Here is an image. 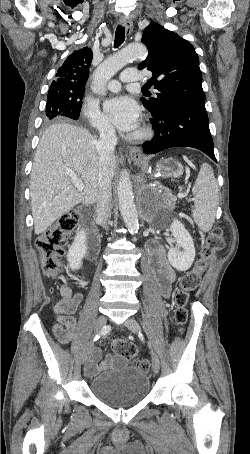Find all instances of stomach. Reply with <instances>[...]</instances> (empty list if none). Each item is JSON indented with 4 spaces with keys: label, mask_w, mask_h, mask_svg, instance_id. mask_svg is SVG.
Wrapping results in <instances>:
<instances>
[{
    "label": "stomach",
    "mask_w": 250,
    "mask_h": 454,
    "mask_svg": "<svg viewBox=\"0 0 250 454\" xmlns=\"http://www.w3.org/2000/svg\"><path fill=\"white\" fill-rule=\"evenodd\" d=\"M135 164L143 169H147L148 164L145 160L142 159H135ZM157 173H160L162 176L165 177H180L183 173L182 165L172 159L166 158L162 159L156 166Z\"/></svg>",
    "instance_id": "stomach-1"
}]
</instances>
